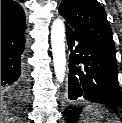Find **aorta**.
Returning <instances> with one entry per match:
<instances>
[{
  "label": "aorta",
  "mask_w": 122,
  "mask_h": 123,
  "mask_svg": "<svg viewBox=\"0 0 122 123\" xmlns=\"http://www.w3.org/2000/svg\"><path fill=\"white\" fill-rule=\"evenodd\" d=\"M51 46L54 72L58 82H63L66 72L65 25L61 19L54 20L51 27Z\"/></svg>",
  "instance_id": "762f6f07"
}]
</instances>
